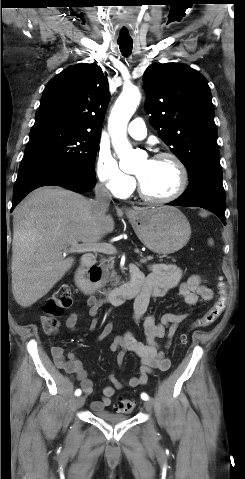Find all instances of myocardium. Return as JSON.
I'll use <instances>...</instances> for the list:
<instances>
[{"label":"myocardium","instance_id":"obj_1","mask_svg":"<svg viewBox=\"0 0 245 479\" xmlns=\"http://www.w3.org/2000/svg\"><path fill=\"white\" fill-rule=\"evenodd\" d=\"M152 159H170L176 166L178 170V183L175 190L163 197H154L146 193L144 190L140 179L136 176V185H137V192L139 196L147 202L154 203V204H165L172 202L179 198L185 191L187 183H188V172L186 169L185 164L183 161L173 152L169 151H162L158 152L153 156Z\"/></svg>","mask_w":245,"mask_h":479}]
</instances>
